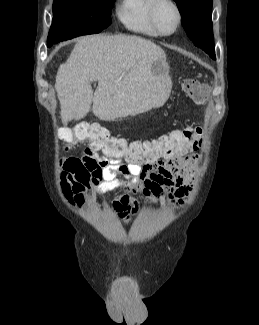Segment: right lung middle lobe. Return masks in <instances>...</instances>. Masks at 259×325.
<instances>
[{"label":"right lung middle lobe","mask_w":259,"mask_h":325,"mask_svg":"<svg viewBox=\"0 0 259 325\" xmlns=\"http://www.w3.org/2000/svg\"><path fill=\"white\" fill-rule=\"evenodd\" d=\"M115 0H54L53 19L47 45L80 35L99 33L111 24Z\"/></svg>","instance_id":"1"}]
</instances>
